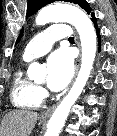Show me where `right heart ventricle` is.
<instances>
[{
	"label": "right heart ventricle",
	"instance_id": "obj_1",
	"mask_svg": "<svg viewBox=\"0 0 117 136\" xmlns=\"http://www.w3.org/2000/svg\"><path fill=\"white\" fill-rule=\"evenodd\" d=\"M43 100L39 87L19 69L12 80L11 101L21 109H37Z\"/></svg>",
	"mask_w": 117,
	"mask_h": 136
}]
</instances>
